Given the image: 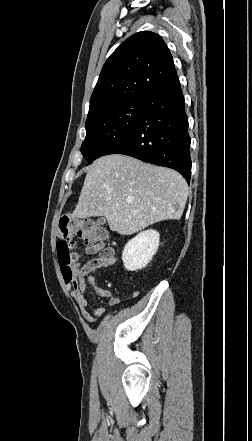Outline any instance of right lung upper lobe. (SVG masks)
Returning <instances> with one entry per match:
<instances>
[{"instance_id":"obj_1","label":"right lung upper lobe","mask_w":252,"mask_h":441,"mask_svg":"<svg viewBox=\"0 0 252 441\" xmlns=\"http://www.w3.org/2000/svg\"><path fill=\"white\" fill-rule=\"evenodd\" d=\"M176 74L171 53L158 35L138 32L106 60L90 99L88 117L144 97Z\"/></svg>"}]
</instances>
